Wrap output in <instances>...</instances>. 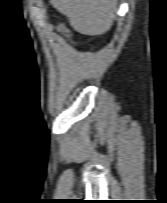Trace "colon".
<instances>
[{
    "mask_svg": "<svg viewBox=\"0 0 167 203\" xmlns=\"http://www.w3.org/2000/svg\"><path fill=\"white\" fill-rule=\"evenodd\" d=\"M59 28L61 33L68 38L74 45H76V41L74 40L73 34L70 31V29L64 24V23H59Z\"/></svg>",
    "mask_w": 167,
    "mask_h": 203,
    "instance_id": "obj_1",
    "label": "colon"
}]
</instances>
